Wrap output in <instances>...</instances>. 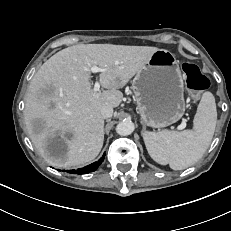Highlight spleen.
I'll list each match as a JSON object with an SVG mask.
<instances>
[{
    "label": "spleen",
    "instance_id": "obj_1",
    "mask_svg": "<svg viewBox=\"0 0 231 231\" xmlns=\"http://www.w3.org/2000/svg\"><path fill=\"white\" fill-rule=\"evenodd\" d=\"M217 122L215 98L205 92L195 114L191 130L143 132V139L151 158L169 164L173 170H183L196 163L206 152Z\"/></svg>",
    "mask_w": 231,
    "mask_h": 231
}]
</instances>
